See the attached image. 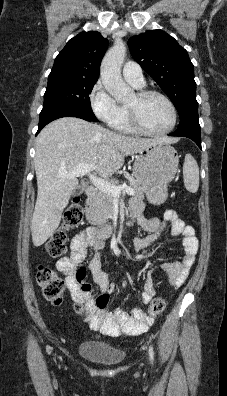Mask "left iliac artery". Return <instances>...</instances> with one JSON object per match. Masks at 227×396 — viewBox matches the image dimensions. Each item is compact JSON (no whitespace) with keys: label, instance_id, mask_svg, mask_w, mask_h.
Wrapping results in <instances>:
<instances>
[{"label":"left iliac artery","instance_id":"left-iliac-artery-1","mask_svg":"<svg viewBox=\"0 0 227 396\" xmlns=\"http://www.w3.org/2000/svg\"><path fill=\"white\" fill-rule=\"evenodd\" d=\"M149 356H150L151 362L153 363V360H154V351H153V347H152V346L149 347Z\"/></svg>","mask_w":227,"mask_h":396}]
</instances>
